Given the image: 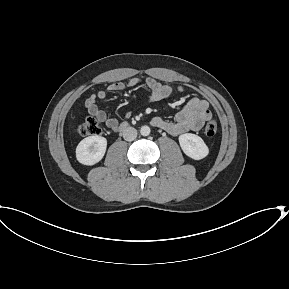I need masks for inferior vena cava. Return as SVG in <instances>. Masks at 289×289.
I'll return each instance as SVG.
<instances>
[{
    "instance_id": "inferior-vena-cava-1",
    "label": "inferior vena cava",
    "mask_w": 289,
    "mask_h": 289,
    "mask_svg": "<svg viewBox=\"0 0 289 289\" xmlns=\"http://www.w3.org/2000/svg\"><path fill=\"white\" fill-rule=\"evenodd\" d=\"M137 137V130L133 127H128L123 131V138L126 141H133Z\"/></svg>"
}]
</instances>
